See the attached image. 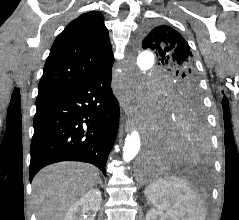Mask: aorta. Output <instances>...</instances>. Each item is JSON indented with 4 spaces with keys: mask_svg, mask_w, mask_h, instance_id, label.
I'll return each instance as SVG.
<instances>
[{
    "mask_svg": "<svg viewBox=\"0 0 239 220\" xmlns=\"http://www.w3.org/2000/svg\"><path fill=\"white\" fill-rule=\"evenodd\" d=\"M132 60H137L138 70L141 71L143 75L148 74L149 71H154V58L152 48H143L142 51H140V54ZM138 70L133 71L135 73H138ZM140 147L141 139L139 132L137 130H133L126 137L123 147V160L125 162L133 160L138 154Z\"/></svg>",
    "mask_w": 239,
    "mask_h": 220,
    "instance_id": "762f6f07",
    "label": "aorta"
}]
</instances>
